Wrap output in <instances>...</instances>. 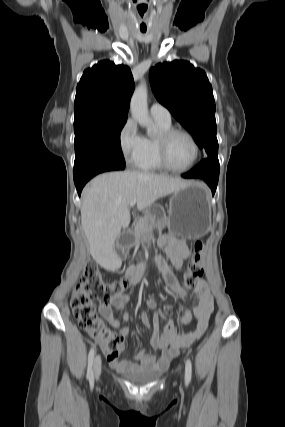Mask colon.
Masks as SVG:
<instances>
[{
	"label": "colon",
	"instance_id": "colon-1",
	"mask_svg": "<svg viewBox=\"0 0 285 427\" xmlns=\"http://www.w3.org/2000/svg\"><path fill=\"white\" fill-rule=\"evenodd\" d=\"M204 244L196 241L193 254L184 275L186 288L195 287L203 275ZM129 286L127 279L107 282L95 264L86 266L71 298V307L80 328L96 339L109 359L118 357L122 346L120 334L107 327L97 314L95 302L108 304L114 294L123 293Z\"/></svg>",
	"mask_w": 285,
	"mask_h": 427
}]
</instances>
